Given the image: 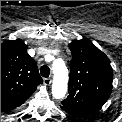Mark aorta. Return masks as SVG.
<instances>
[{"label":"aorta","instance_id":"1","mask_svg":"<svg viewBox=\"0 0 122 122\" xmlns=\"http://www.w3.org/2000/svg\"><path fill=\"white\" fill-rule=\"evenodd\" d=\"M52 95L56 99H62L67 92L68 70L63 60L58 59L53 63Z\"/></svg>","mask_w":122,"mask_h":122}]
</instances>
